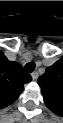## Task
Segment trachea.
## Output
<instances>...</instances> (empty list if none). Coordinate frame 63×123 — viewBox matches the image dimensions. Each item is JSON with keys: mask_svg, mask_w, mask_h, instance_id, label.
<instances>
[{"mask_svg": "<svg viewBox=\"0 0 63 123\" xmlns=\"http://www.w3.org/2000/svg\"><path fill=\"white\" fill-rule=\"evenodd\" d=\"M34 69H35V63H34V62H28V63L25 65V70H26V72H28V73L32 72Z\"/></svg>", "mask_w": 63, "mask_h": 123, "instance_id": "3493384b", "label": "trachea"}]
</instances>
